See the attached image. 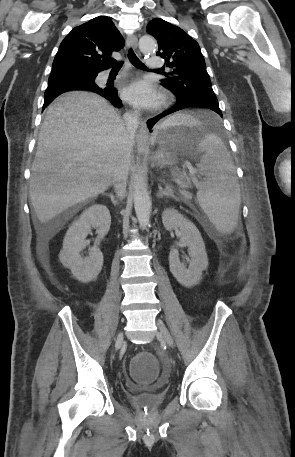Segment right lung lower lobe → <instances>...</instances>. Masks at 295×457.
I'll use <instances>...</instances> for the list:
<instances>
[{"label": "right lung lower lobe", "mask_w": 295, "mask_h": 457, "mask_svg": "<svg viewBox=\"0 0 295 457\" xmlns=\"http://www.w3.org/2000/svg\"><path fill=\"white\" fill-rule=\"evenodd\" d=\"M112 66H110L109 68H111ZM95 78H96V76H95ZM95 78L93 79L92 82H84V81H78V80H61V79L50 80L48 83L47 90L56 89V90H65V92L71 91V90L92 91V92L100 94L101 96H103L104 98L109 100L113 105L118 106V107L122 106L121 100L117 96V90L113 86H107L105 88L98 87L94 82ZM57 96L58 95H53V96L44 98L43 109H45V107Z\"/></svg>", "instance_id": "obj_1"}]
</instances>
